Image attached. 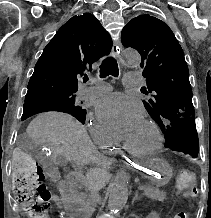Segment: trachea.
Segmentation results:
<instances>
[{"label":"trachea","instance_id":"trachea-1","mask_svg":"<svg viewBox=\"0 0 211 218\" xmlns=\"http://www.w3.org/2000/svg\"><path fill=\"white\" fill-rule=\"evenodd\" d=\"M109 75H112L113 77H118L119 75V69H118V64L116 60L109 56L106 57L102 61V65L100 66V77L105 78ZM88 77H85L83 81H87Z\"/></svg>","mask_w":211,"mask_h":218}]
</instances>
